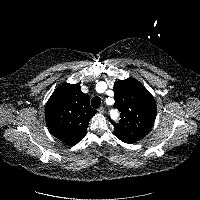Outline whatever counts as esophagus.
<instances>
[{
	"mask_svg": "<svg viewBox=\"0 0 200 200\" xmlns=\"http://www.w3.org/2000/svg\"><path fill=\"white\" fill-rule=\"evenodd\" d=\"M98 112L101 113V114H103V113L105 112L104 107H100V108L98 109Z\"/></svg>",
	"mask_w": 200,
	"mask_h": 200,
	"instance_id": "34e87169",
	"label": "esophagus"
}]
</instances>
